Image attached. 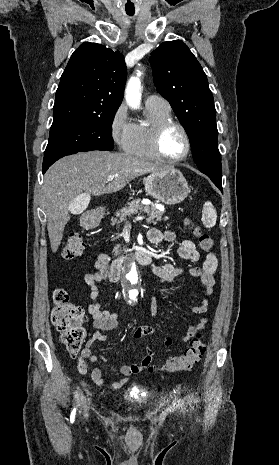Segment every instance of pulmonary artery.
I'll return each mask as SVG.
<instances>
[{
	"mask_svg": "<svg viewBox=\"0 0 279 465\" xmlns=\"http://www.w3.org/2000/svg\"><path fill=\"white\" fill-rule=\"evenodd\" d=\"M146 106H155L165 109H170V105L166 99L158 95H150L146 98Z\"/></svg>",
	"mask_w": 279,
	"mask_h": 465,
	"instance_id": "pulmonary-artery-1",
	"label": "pulmonary artery"
}]
</instances>
